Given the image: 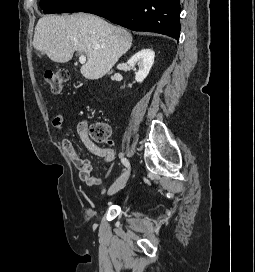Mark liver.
Wrapping results in <instances>:
<instances>
[{
    "label": "liver",
    "mask_w": 255,
    "mask_h": 272,
    "mask_svg": "<svg viewBox=\"0 0 255 272\" xmlns=\"http://www.w3.org/2000/svg\"><path fill=\"white\" fill-rule=\"evenodd\" d=\"M132 35L93 14L49 15L39 19L33 46L52 61L66 63L75 51L87 62L81 74L89 80L102 78L132 46Z\"/></svg>",
    "instance_id": "1"
}]
</instances>
